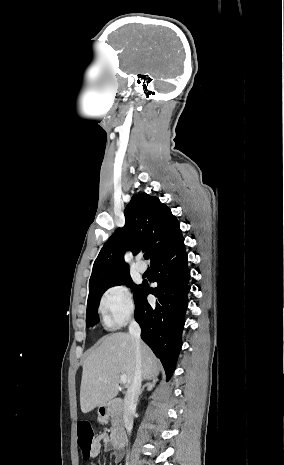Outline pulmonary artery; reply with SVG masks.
<instances>
[{
    "label": "pulmonary artery",
    "instance_id": "1",
    "mask_svg": "<svg viewBox=\"0 0 284 465\" xmlns=\"http://www.w3.org/2000/svg\"><path fill=\"white\" fill-rule=\"evenodd\" d=\"M135 268H136L137 272H139V273H144L146 271V266L140 259H138L136 261Z\"/></svg>",
    "mask_w": 284,
    "mask_h": 465
}]
</instances>
